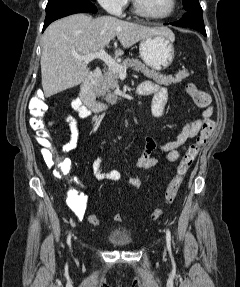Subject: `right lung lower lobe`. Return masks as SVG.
<instances>
[{
    "label": "right lung lower lobe",
    "mask_w": 240,
    "mask_h": 287,
    "mask_svg": "<svg viewBox=\"0 0 240 287\" xmlns=\"http://www.w3.org/2000/svg\"><path fill=\"white\" fill-rule=\"evenodd\" d=\"M97 12L91 1L65 2L46 8V18L43 26L45 28L53 21L75 13Z\"/></svg>",
    "instance_id": "1"
}]
</instances>
